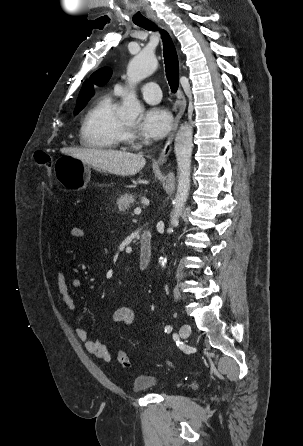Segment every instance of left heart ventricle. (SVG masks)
<instances>
[{
  "label": "left heart ventricle",
  "mask_w": 303,
  "mask_h": 446,
  "mask_svg": "<svg viewBox=\"0 0 303 446\" xmlns=\"http://www.w3.org/2000/svg\"><path fill=\"white\" fill-rule=\"evenodd\" d=\"M126 124H127L128 126H131V125H132V122H126Z\"/></svg>",
  "instance_id": "b2bd125f"
}]
</instances>
